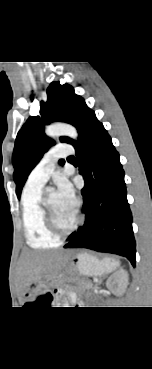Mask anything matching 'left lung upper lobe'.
<instances>
[{"mask_svg": "<svg viewBox=\"0 0 152 369\" xmlns=\"http://www.w3.org/2000/svg\"><path fill=\"white\" fill-rule=\"evenodd\" d=\"M47 96V102L40 104L41 117L28 118L16 137L12 160L18 198L29 173L53 143L44 133V124L63 121L75 126L80 136L85 122L94 113L68 84L52 82ZM60 141L72 145L76 143L69 137H60ZM59 163L64 164L62 160Z\"/></svg>", "mask_w": 152, "mask_h": 369, "instance_id": "5c2ea615", "label": "left lung upper lobe"}]
</instances>
